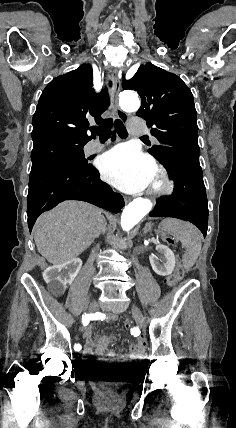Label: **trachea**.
I'll return each instance as SVG.
<instances>
[{"label": "trachea", "instance_id": "3493384b", "mask_svg": "<svg viewBox=\"0 0 236 428\" xmlns=\"http://www.w3.org/2000/svg\"><path fill=\"white\" fill-rule=\"evenodd\" d=\"M110 85H111V82H110ZM115 129L121 138H126L128 136L127 130L124 127L121 120L115 121ZM91 133L94 135H98L101 140H107L108 138H110V136H111V119H109V121L107 123H105L104 125H101L99 127H92Z\"/></svg>", "mask_w": 236, "mask_h": 428}]
</instances>
